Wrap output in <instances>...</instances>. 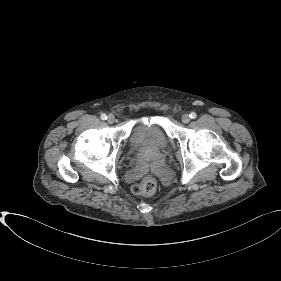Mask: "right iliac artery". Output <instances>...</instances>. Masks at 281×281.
<instances>
[{"label": "right iliac artery", "mask_w": 281, "mask_h": 281, "mask_svg": "<svg viewBox=\"0 0 281 281\" xmlns=\"http://www.w3.org/2000/svg\"><path fill=\"white\" fill-rule=\"evenodd\" d=\"M100 118H101L102 120H106V119H107V116H106V114H101Z\"/></svg>", "instance_id": "obj_1"}]
</instances>
